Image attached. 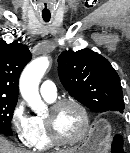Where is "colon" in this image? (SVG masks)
<instances>
[{
    "instance_id": "colon-1",
    "label": "colon",
    "mask_w": 130,
    "mask_h": 153,
    "mask_svg": "<svg viewBox=\"0 0 130 153\" xmlns=\"http://www.w3.org/2000/svg\"><path fill=\"white\" fill-rule=\"evenodd\" d=\"M112 148H113V153H122L124 151L122 141L119 137L115 138Z\"/></svg>"
}]
</instances>
